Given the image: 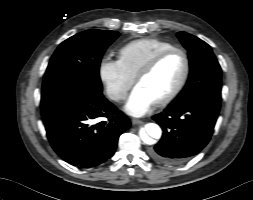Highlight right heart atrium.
<instances>
[{"mask_svg":"<svg viewBox=\"0 0 253 200\" xmlns=\"http://www.w3.org/2000/svg\"><path fill=\"white\" fill-rule=\"evenodd\" d=\"M98 76L106 95L114 102L124 100L133 84V78L124 70L121 62L108 57L100 61Z\"/></svg>","mask_w":253,"mask_h":200,"instance_id":"d8ad5b80","label":"right heart atrium"}]
</instances>
